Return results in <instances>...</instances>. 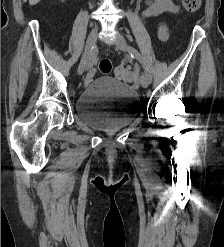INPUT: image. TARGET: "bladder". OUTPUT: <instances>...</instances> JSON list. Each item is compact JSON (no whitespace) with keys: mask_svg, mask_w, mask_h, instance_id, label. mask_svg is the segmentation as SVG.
Returning a JSON list of instances; mask_svg holds the SVG:
<instances>
[{"mask_svg":"<svg viewBox=\"0 0 224 247\" xmlns=\"http://www.w3.org/2000/svg\"><path fill=\"white\" fill-rule=\"evenodd\" d=\"M140 109L138 93L112 77L93 80L78 96L75 111L87 126L116 132L133 122Z\"/></svg>","mask_w":224,"mask_h":247,"instance_id":"bladder-1","label":"bladder"}]
</instances>
